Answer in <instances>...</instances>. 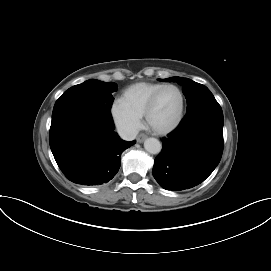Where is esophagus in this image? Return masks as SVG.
<instances>
[{
    "mask_svg": "<svg viewBox=\"0 0 271 271\" xmlns=\"http://www.w3.org/2000/svg\"><path fill=\"white\" fill-rule=\"evenodd\" d=\"M146 138H147V136L145 134H140V135H138L136 140L138 143H142Z\"/></svg>",
    "mask_w": 271,
    "mask_h": 271,
    "instance_id": "obj_1",
    "label": "esophagus"
}]
</instances>
